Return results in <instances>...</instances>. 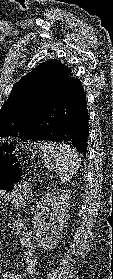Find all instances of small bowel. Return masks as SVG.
Returning a JSON list of instances; mask_svg holds the SVG:
<instances>
[{
	"label": "small bowel",
	"instance_id": "small-bowel-1",
	"mask_svg": "<svg viewBox=\"0 0 113 279\" xmlns=\"http://www.w3.org/2000/svg\"><path fill=\"white\" fill-rule=\"evenodd\" d=\"M1 199L11 201L15 206L22 207L26 204V194L15 193L11 195L0 193ZM13 231L18 236L19 245L24 250V268L19 272L3 270L0 264L1 279H25L32 274L37 266L35 247L32 241V233L23 220H17L13 224Z\"/></svg>",
	"mask_w": 113,
	"mask_h": 279
}]
</instances>
